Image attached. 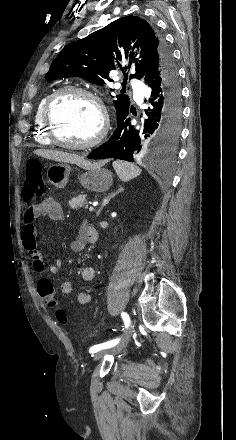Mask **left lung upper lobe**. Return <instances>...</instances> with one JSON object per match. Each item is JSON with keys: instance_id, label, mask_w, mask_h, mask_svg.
Wrapping results in <instances>:
<instances>
[{"instance_id": "obj_1", "label": "left lung upper lobe", "mask_w": 236, "mask_h": 440, "mask_svg": "<svg viewBox=\"0 0 236 440\" xmlns=\"http://www.w3.org/2000/svg\"><path fill=\"white\" fill-rule=\"evenodd\" d=\"M165 54L171 52L156 29L138 16H125L64 47L45 78L77 76L103 85L104 79L109 80V72L120 68L124 74L135 70L130 79H143L151 61ZM126 79L125 75L124 86ZM116 98L113 102L118 117L129 110L130 101L127 95Z\"/></svg>"}]
</instances>
